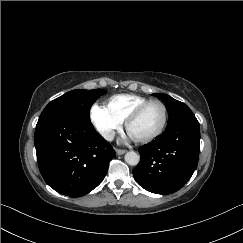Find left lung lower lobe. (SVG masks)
Listing matches in <instances>:
<instances>
[{
  "instance_id": "0a47b994",
  "label": "left lung lower lobe",
  "mask_w": 243,
  "mask_h": 243,
  "mask_svg": "<svg viewBox=\"0 0 243 243\" xmlns=\"http://www.w3.org/2000/svg\"><path fill=\"white\" fill-rule=\"evenodd\" d=\"M199 151L200 124L194 115H189L139 148L140 162L133 170L134 179L149 192L174 193L194 173Z\"/></svg>"
}]
</instances>
